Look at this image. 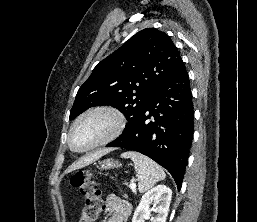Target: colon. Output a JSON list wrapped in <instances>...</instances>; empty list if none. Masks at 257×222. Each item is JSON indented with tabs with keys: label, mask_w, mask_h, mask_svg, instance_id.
<instances>
[{
	"label": "colon",
	"mask_w": 257,
	"mask_h": 222,
	"mask_svg": "<svg viewBox=\"0 0 257 222\" xmlns=\"http://www.w3.org/2000/svg\"><path fill=\"white\" fill-rule=\"evenodd\" d=\"M70 184L78 188L85 198V207L78 222H96L103 208V201L99 187L93 180L91 172L87 170L75 172L70 178Z\"/></svg>",
	"instance_id": "1"
}]
</instances>
